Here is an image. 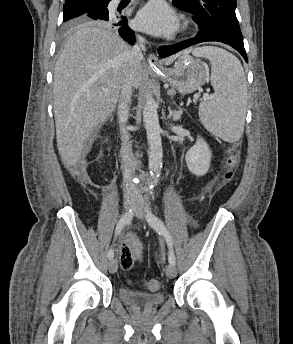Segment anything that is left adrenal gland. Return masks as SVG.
Listing matches in <instances>:
<instances>
[{
	"label": "left adrenal gland",
	"instance_id": "a2214340",
	"mask_svg": "<svg viewBox=\"0 0 293 344\" xmlns=\"http://www.w3.org/2000/svg\"><path fill=\"white\" fill-rule=\"evenodd\" d=\"M168 110H169V118H172L174 121H177L181 118V115H182L181 109L178 111H172L169 107Z\"/></svg>",
	"mask_w": 293,
	"mask_h": 344
}]
</instances>
